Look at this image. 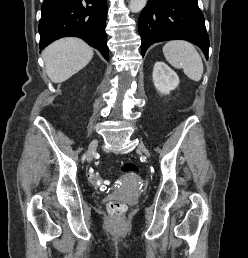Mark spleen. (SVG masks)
I'll list each match as a JSON object with an SVG mask.
<instances>
[{
    "instance_id": "1",
    "label": "spleen",
    "mask_w": 248,
    "mask_h": 258,
    "mask_svg": "<svg viewBox=\"0 0 248 258\" xmlns=\"http://www.w3.org/2000/svg\"><path fill=\"white\" fill-rule=\"evenodd\" d=\"M166 60L175 68H182L187 77L195 82L203 75V62L193 44L183 40H173L163 46Z\"/></svg>"
}]
</instances>
